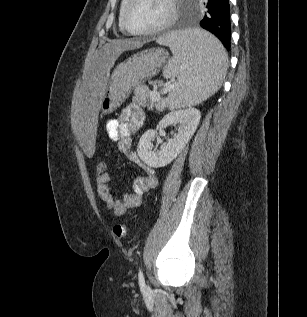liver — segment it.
Masks as SVG:
<instances>
[{
	"mask_svg": "<svg viewBox=\"0 0 307 317\" xmlns=\"http://www.w3.org/2000/svg\"><path fill=\"white\" fill-rule=\"evenodd\" d=\"M144 43L130 40H113L89 62L84 71L83 83L73 107L72 127L80 137L79 147L86 158L99 148L96 136L92 135L97 126L96 108L101 107L102 95L107 79L112 77L110 69L121 53L140 48Z\"/></svg>",
	"mask_w": 307,
	"mask_h": 317,
	"instance_id": "obj_1",
	"label": "liver"
}]
</instances>
